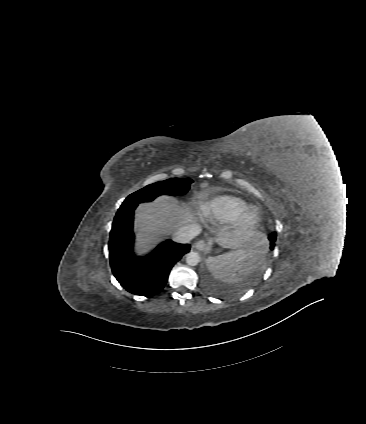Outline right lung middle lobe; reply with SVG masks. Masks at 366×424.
I'll use <instances>...</instances> for the list:
<instances>
[{"instance_id":"obj_1","label":"right lung middle lobe","mask_w":366,"mask_h":424,"mask_svg":"<svg viewBox=\"0 0 366 424\" xmlns=\"http://www.w3.org/2000/svg\"><path fill=\"white\" fill-rule=\"evenodd\" d=\"M191 179L171 178L168 180L150 184L132 194H130L122 203L121 207L138 205L142 202L154 200L157 196L168 195H184L190 188Z\"/></svg>"}]
</instances>
